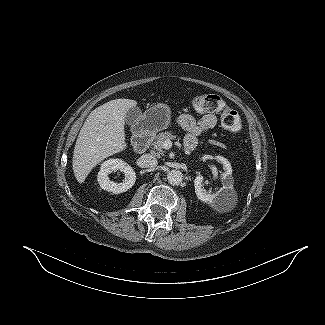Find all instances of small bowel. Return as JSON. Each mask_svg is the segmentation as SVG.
Instances as JSON below:
<instances>
[{"instance_id": "1", "label": "small bowel", "mask_w": 325, "mask_h": 325, "mask_svg": "<svg viewBox=\"0 0 325 325\" xmlns=\"http://www.w3.org/2000/svg\"><path fill=\"white\" fill-rule=\"evenodd\" d=\"M176 123L187 132L184 139L185 148L194 149L198 142V136L204 131L214 128L217 124V118L214 114H205L199 119L190 114H182L177 118Z\"/></svg>"}]
</instances>
